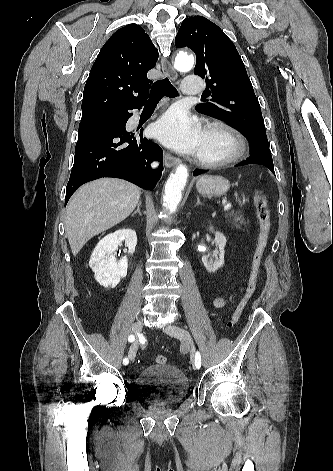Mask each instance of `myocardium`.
Segmentation results:
<instances>
[{
    "mask_svg": "<svg viewBox=\"0 0 333 471\" xmlns=\"http://www.w3.org/2000/svg\"><path fill=\"white\" fill-rule=\"evenodd\" d=\"M212 131L220 132L227 137L230 142V150L221 157H206L198 153L196 161L199 165L207 168L225 166L238 161L245 154V139L234 127L223 121L215 120L208 122L204 127V132Z\"/></svg>",
    "mask_w": 333,
    "mask_h": 471,
    "instance_id": "f54148a6",
    "label": "myocardium"
}]
</instances>
